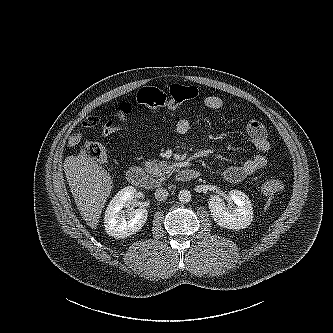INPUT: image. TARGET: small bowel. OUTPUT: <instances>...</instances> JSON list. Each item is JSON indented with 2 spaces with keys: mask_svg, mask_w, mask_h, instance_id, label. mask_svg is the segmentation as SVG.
Returning a JSON list of instances; mask_svg holds the SVG:
<instances>
[{
  "mask_svg": "<svg viewBox=\"0 0 333 333\" xmlns=\"http://www.w3.org/2000/svg\"><path fill=\"white\" fill-rule=\"evenodd\" d=\"M202 104L209 110H221L224 107V101L216 95L204 97ZM100 121V115L95 114L88 117L84 122V127H93ZM127 122L117 123L113 120L106 122L101 129V136L108 137L117 130L128 128ZM191 120L188 117L181 118L174 127V133L182 136L189 132ZM246 132L256 149V154L238 165H231L224 171V177L229 182H239L246 177L254 174L267 164V154L270 149L268 133L265 126L258 120H251L246 125ZM82 134L79 130L74 132L68 139L69 145H76L80 142Z\"/></svg>",
  "mask_w": 333,
  "mask_h": 333,
  "instance_id": "small-bowel-1",
  "label": "small bowel"
}]
</instances>
